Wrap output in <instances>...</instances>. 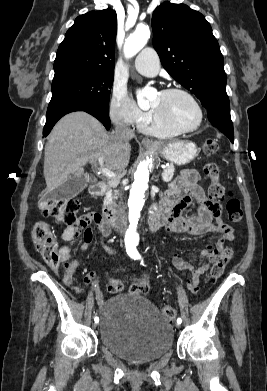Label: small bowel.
<instances>
[{
  "label": "small bowel",
  "instance_id": "c3829d8e",
  "mask_svg": "<svg viewBox=\"0 0 267 391\" xmlns=\"http://www.w3.org/2000/svg\"><path fill=\"white\" fill-rule=\"evenodd\" d=\"M200 176L195 170H187L181 174L170 185L165 197L163 198L159 212L165 217L166 229L171 234H189L192 236L204 233H218L220 238L216 245H209L200 252V263L194 266L187 262L177 253H172L173 265L182 271H187L190 276L187 279L186 287L192 293L199 290V279L209 269L210 263L214 262L223 251L225 242L234 239V230L225 224L220 215L222 207L219 203L210 200L199 185ZM197 203V213L191 217H184L182 212L188 208L192 202ZM89 222H81L77 225H68L61 234V239L66 243L59 249L64 268V282L71 284L72 279L79 266V260L72 258L70 244L73 242L80 231L85 228L84 241L80 246L82 251L90 247L93 230L90 227L94 222L102 236L106 238L110 234V227L97 214H89ZM109 253H114V249L104 244ZM96 273H88L85 276L87 284L93 283L97 279ZM96 300L99 304L103 303L102 294L95 292Z\"/></svg>",
  "mask_w": 267,
  "mask_h": 391
}]
</instances>
